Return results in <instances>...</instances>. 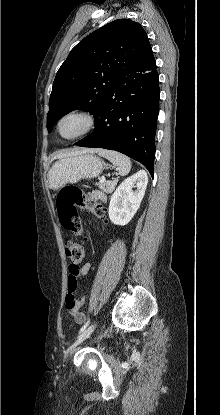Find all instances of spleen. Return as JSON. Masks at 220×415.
<instances>
[{"label": "spleen", "mask_w": 220, "mask_h": 415, "mask_svg": "<svg viewBox=\"0 0 220 415\" xmlns=\"http://www.w3.org/2000/svg\"><path fill=\"white\" fill-rule=\"evenodd\" d=\"M98 154L108 159L113 165L117 166L121 176H126L130 172L131 161L129 157L116 151L104 149L98 150Z\"/></svg>", "instance_id": "1"}]
</instances>
